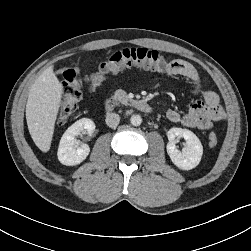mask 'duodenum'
<instances>
[{"label": "duodenum", "instance_id": "410a0bca", "mask_svg": "<svg viewBox=\"0 0 251 251\" xmlns=\"http://www.w3.org/2000/svg\"><path fill=\"white\" fill-rule=\"evenodd\" d=\"M119 104L120 102L117 99L110 98L104 102V108L106 111L112 112L119 106ZM130 104L133 108L144 113H151L153 110L152 107L146 101L141 99H135L131 101Z\"/></svg>", "mask_w": 251, "mask_h": 251}]
</instances>
